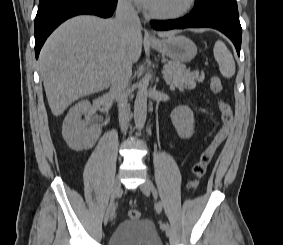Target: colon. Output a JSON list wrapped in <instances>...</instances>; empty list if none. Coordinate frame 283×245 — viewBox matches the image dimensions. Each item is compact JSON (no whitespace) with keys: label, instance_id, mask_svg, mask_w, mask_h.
Listing matches in <instances>:
<instances>
[{"label":"colon","instance_id":"colon-1","mask_svg":"<svg viewBox=\"0 0 283 245\" xmlns=\"http://www.w3.org/2000/svg\"><path fill=\"white\" fill-rule=\"evenodd\" d=\"M210 89L214 94H219L222 89V82L219 77L214 76L210 80ZM218 110L221 118V126L214 134L210 143L201 152L197 162L193 166L194 178L189 183L191 189H196L200 179L205 175L209 164L211 163L218 147L227 137L232 124H233V112L231 106L225 101L218 102ZM130 219H139L141 214L138 209H131L128 212Z\"/></svg>","mask_w":283,"mask_h":245}]
</instances>
